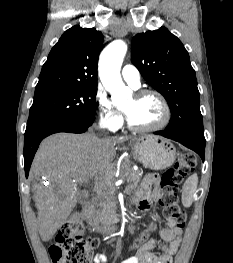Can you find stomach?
Wrapping results in <instances>:
<instances>
[{
    "label": "stomach",
    "instance_id": "1",
    "mask_svg": "<svg viewBox=\"0 0 233 263\" xmlns=\"http://www.w3.org/2000/svg\"><path fill=\"white\" fill-rule=\"evenodd\" d=\"M131 148L133 156L144 167L153 170H162L171 166L177 156L173 144L158 136H140L132 141Z\"/></svg>",
    "mask_w": 233,
    "mask_h": 263
}]
</instances>
